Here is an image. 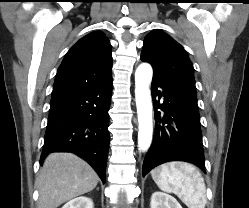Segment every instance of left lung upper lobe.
<instances>
[{
	"instance_id": "obj_1",
	"label": "left lung upper lobe",
	"mask_w": 249,
	"mask_h": 208,
	"mask_svg": "<svg viewBox=\"0 0 249 208\" xmlns=\"http://www.w3.org/2000/svg\"><path fill=\"white\" fill-rule=\"evenodd\" d=\"M141 60L152 65L154 75L175 81L196 94L193 64L182 45L167 34L150 32L144 39Z\"/></svg>"
}]
</instances>
